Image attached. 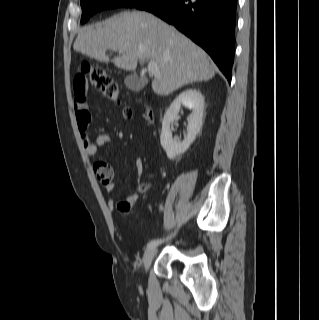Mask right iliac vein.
Segmentation results:
<instances>
[{
    "instance_id": "63e3f726",
    "label": "right iliac vein",
    "mask_w": 319,
    "mask_h": 320,
    "mask_svg": "<svg viewBox=\"0 0 319 320\" xmlns=\"http://www.w3.org/2000/svg\"><path fill=\"white\" fill-rule=\"evenodd\" d=\"M156 253H157L156 248L147 249L145 251V253L143 255V264L146 269H148L149 266L151 265V262H152L153 258L155 257Z\"/></svg>"
}]
</instances>
